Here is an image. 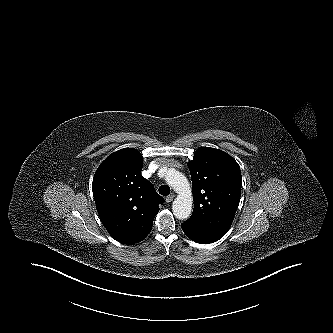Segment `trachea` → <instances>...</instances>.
<instances>
[{"instance_id":"trachea-1","label":"trachea","mask_w":333,"mask_h":333,"mask_svg":"<svg viewBox=\"0 0 333 333\" xmlns=\"http://www.w3.org/2000/svg\"><path fill=\"white\" fill-rule=\"evenodd\" d=\"M159 193L163 196H167L170 194V187L167 185H161L158 189Z\"/></svg>"}]
</instances>
